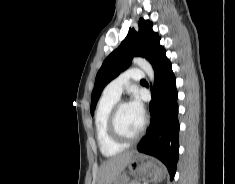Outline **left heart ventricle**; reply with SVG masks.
Returning <instances> with one entry per match:
<instances>
[{
    "instance_id": "1",
    "label": "left heart ventricle",
    "mask_w": 235,
    "mask_h": 184,
    "mask_svg": "<svg viewBox=\"0 0 235 184\" xmlns=\"http://www.w3.org/2000/svg\"><path fill=\"white\" fill-rule=\"evenodd\" d=\"M143 118L135 115L128 105L123 106L118 115L121 132L129 138L135 137L141 129Z\"/></svg>"
}]
</instances>
